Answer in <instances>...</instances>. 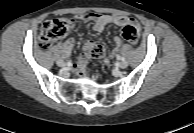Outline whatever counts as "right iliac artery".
Wrapping results in <instances>:
<instances>
[{
	"instance_id": "82829eb1",
	"label": "right iliac artery",
	"mask_w": 194,
	"mask_h": 133,
	"mask_svg": "<svg viewBox=\"0 0 194 133\" xmlns=\"http://www.w3.org/2000/svg\"><path fill=\"white\" fill-rule=\"evenodd\" d=\"M67 65H68V66H70V65H71V63H70V62H67Z\"/></svg>"
}]
</instances>
